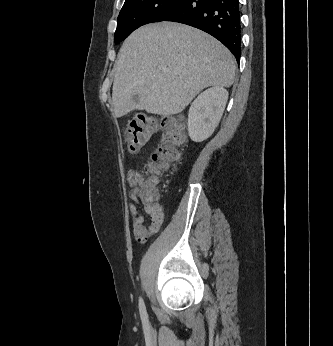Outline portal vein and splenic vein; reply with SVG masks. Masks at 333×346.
I'll return each mask as SVG.
<instances>
[{
    "mask_svg": "<svg viewBox=\"0 0 333 346\" xmlns=\"http://www.w3.org/2000/svg\"><path fill=\"white\" fill-rule=\"evenodd\" d=\"M161 70H162L163 72H166V71H167V69H166V68H162Z\"/></svg>",
    "mask_w": 333,
    "mask_h": 346,
    "instance_id": "1",
    "label": "portal vein and splenic vein"
}]
</instances>
